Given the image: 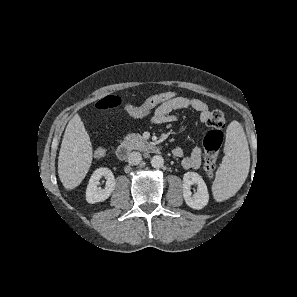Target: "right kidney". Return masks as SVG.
Wrapping results in <instances>:
<instances>
[{"label": "right kidney", "instance_id": "ca27d5eb", "mask_svg": "<svg viewBox=\"0 0 297 297\" xmlns=\"http://www.w3.org/2000/svg\"><path fill=\"white\" fill-rule=\"evenodd\" d=\"M106 178V185L104 189L98 188L101 177ZM116 185L115 177L112 171L108 168L101 167L94 171L89 179L86 189V200L88 203L94 204L105 201L113 192Z\"/></svg>", "mask_w": 297, "mask_h": 297}]
</instances>
